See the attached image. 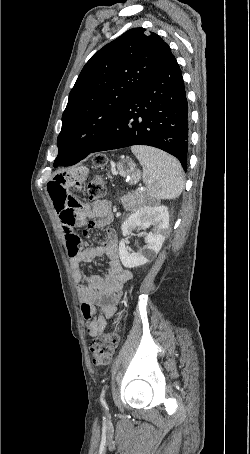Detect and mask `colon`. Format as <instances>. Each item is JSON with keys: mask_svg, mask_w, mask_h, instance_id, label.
Masks as SVG:
<instances>
[{"mask_svg": "<svg viewBox=\"0 0 250 454\" xmlns=\"http://www.w3.org/2000/svg\"><path fill=\"white\" fill-rule=\"evenodd\" d=\"M98 166H102L106 162L104 155H97L94 159ZM106 183L100 176L93 177L87 185V195L90 200H98L106 194ZM123 317L121 313L118 316V321ZM120 341L119 326L116 324L114 328L93 340L90 346L93 363L97 366H103L110 363L114 351Z\"/></svg>", "mask_w": 250, "mask_h": 454, "instance_id": "5ec220e1", "label": "colon"}]
</instances>
